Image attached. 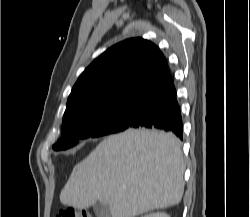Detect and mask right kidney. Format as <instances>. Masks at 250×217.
<instances>
[{
  "mask_svg": "<svg viewBox=\"0 0 250 217\" xmlns=\"http://www.w3.org/2000/svg\"><path fill=\"white\" fill-rule=\"evenodd\" d=\"M143 217H170V216L164 212H156V213L145 215Z\"/></svg>",
  "mask_w": 250,
  "mask_h": 217,
  "instance_id": "ca27d5eb",
  "label": "right kidney"
}]
</instances>
